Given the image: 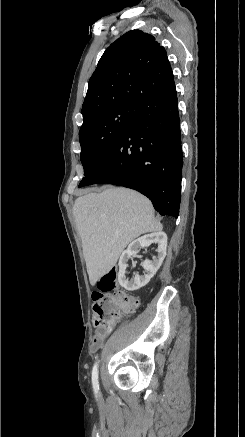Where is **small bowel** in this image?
<instances>
[{"label": "small bowel", "instance_id": "1", "mask_svg": "<svg viewBox=\"0 0 245 437\" xmlns=\"http://www.w3.org/2000/svg\"><path fill=\"white\" fill-rule=\"evenodd\" d=\"M106 336L107 335H105V336H97V335H95L94 340H93V345L95 347H99L102 344V342H103V340L105 339Z\"/></svg>", "mask_w": 245, "mask_h": 437}]
</instances>
